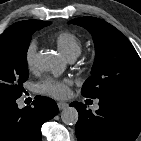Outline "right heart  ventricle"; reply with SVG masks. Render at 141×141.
Here are the masks:
<instances>
[{"mask_svg":"<svg viewBox=\"0 0 141 141\" xmlns=\"http://www.w3.org/2000/svg\"><path fill=\"white\" fill-rule=\"evenodd\" d=\"M58 50L67 60H74L82 50L81 39L72 32L62 31L54 36Z\"/></svg>","mask_w":141,"mask_h":141,"instance_id":"e07e8e85","label":"right heart ventricle"}]
</instances>
